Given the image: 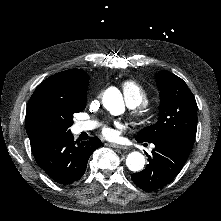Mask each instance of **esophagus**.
Masks as SVG:
<instances>
[{
	"label": "esophagus",
	"mask_w": 221,
	"mask_h": 221,
	"mask_svg": "<svg viewBox=\"0 0 221 221\" xmlns=\"http://www.w3.org/2000/svg\"><path fill=\"white\" fill-rule=\"evenodd\" d=\"M109 146L113 147V148H116V149H126V146L116 144V143H110Z\"/></svg>",
	"instance_id": "obj_1"
}]
</instances>
